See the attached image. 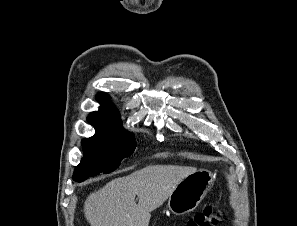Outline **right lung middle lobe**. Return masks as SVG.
Masks as SVG:
<instances>
[{"instance_id":"1","label":"right lung middle lobe","mask_w":297,"mask_h":226,"mask_svg":"<svg viewBox=\"0 0 297 226\" xmlns=\"http://www.w3.org/2000/svg\"><path fill=\"white\" fill-rule=\"evenodd\" d=\"M82 147L84 157L73 175L77 182L115 170L122 159L133 153L136 142L134 134L124 130L120 120L113 128L96 129L93 137L82 140Z\"/></svg>"}]
</instances>
